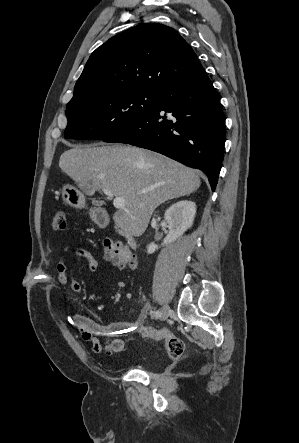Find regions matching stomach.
I'll return each instance as SVG.
<instances>
[{
	"label": "stomach",
	"mask_w": 299,
	"mask_h": 443,
	"mask_svg": "<svg viewBox=\"0 0 299 443\" xmlns=\"http://www.w3.org/2000/svg\"><path fill=\"white\" fill-rule=\"evenodd\" d=\"M62 198L64 202L67 204L76 207V208H83L85 207V197L77 188H75L72 185L66 184L62 188ZM91 217L95 222H98V220L91 214Z\"/></svg>",
	"instance_id": "stomach-1"
}]
</instances>
